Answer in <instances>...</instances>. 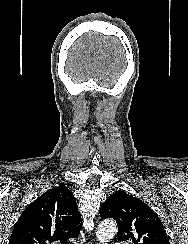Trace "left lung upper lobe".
Listing matches in <instances>:
<instances>
[{
	"label": "left lung upper lobe",
	"mask_w": 188,
	"mask_h": 244,
	"mask_svg": "<svg viewBox=\"0 0 188 244\" xmlns=\"http://www.w3.org/2000/svg\"><path fill=\"white\" fill-rule=\"evenodd\" d=\"M102 219L113 218L118 225L117 239L128 244H169L157 214L140 199L117 191L102 204Z\"/></svg>",
	"instance_id": "obj_1"
}]
</instances>
